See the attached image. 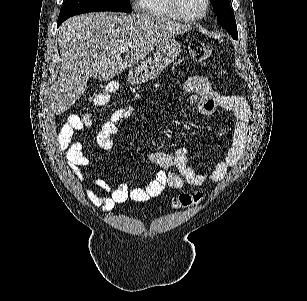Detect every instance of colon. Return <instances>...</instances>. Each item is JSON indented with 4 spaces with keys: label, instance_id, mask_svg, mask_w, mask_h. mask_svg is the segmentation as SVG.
<instances>
[{
    "label": "colon",
    "instance_id": "obj_1",
    "mask_svg": "<svg viewBox=\"0 0 307 301\" xmlns=\"http://www.w3.org/2000/svg\"><path fill=\"white\" fill-rule=\"evenodd\" d=\"M190 55L193 60L203 62L210 59L213 55L212 47L200 40H194L189 46ZM118 90V84L111 82L105 84L102 89L94 94L91 103L95 108H100L106 105L116 91ZM83 127H91L94 123V117L91 113H85L80 117ZM204 197V193L200 191L192 193H181L177 195L173 200V205L176 208H186L197 204Z\"/></svg>",
    "mask_w": 307,
    "mask_h": 301
}]
</instances>
